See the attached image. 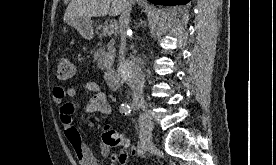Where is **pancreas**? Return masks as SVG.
<instances>
[{
  "label": "pancreas",
  "instance_id": "cf45deb5",
  "mask_svg": "<svg viewBox=\"0 0 276 165\" xmlns=\"http://www.w3.org/2000/svg\"><path fill=\"white\" fill-rule=\"evenodd\" d=\"M104 34H100L99 38L102 39ZM99 48L94 51V60L97 61V68L104 70L109 67L115 57L114 43L110 42L106 47H102V42L98 43Z\"/></svg>",
  "mask_w": 276,
  "mask_h": 165
}]
</instances>
